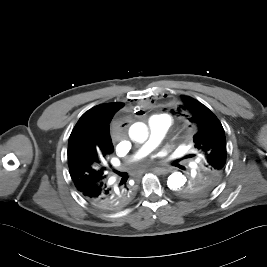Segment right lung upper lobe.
Here are the masks:
<instances>
[{"label": "right lung upper lobe", "mask_w": 267, "mask_h": 267, "mask_svg": "<svg viewBox=\"0 0 267 267\" xmlns=\"http://www.w3.org/2000/svg\"><path fill=\"white\" fill-rule=\"evenodd\" d=\"M123 105V103L101 104L81 116L69 138V162L73 159L81 160L88 154L97 158L107 157L114 151L109 123L113 114Z\"/></svg>", "instance_id": "right-lung-upper-lobe-1"}]
</instances>
